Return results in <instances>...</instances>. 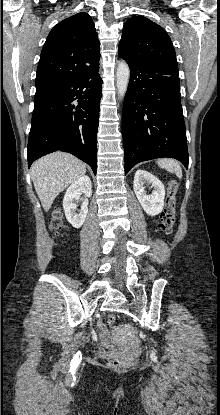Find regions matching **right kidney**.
Wrapping results in <instances>:
<instances>
[{
	"instance_id": "obj_1",
	"label": "right kidney",
	"mask_w": 220,
	"mask_h": 415,
	"mask_svg": "<svg viewBox=\"0 0 220 415\" xmlns=\"http://www.w3.org/2000/svg\"><path fill=\"white\" fill-rule=\"evenodd\" d=\"M84 193L85 199L81 205L79 213H76L77 204L80 195ZM92 195L91 181L88 176H82L74 181L66 190L63 199V209L66 219L74 228H80L88 213V197Z\"/></svg>"
}]
</instances>
